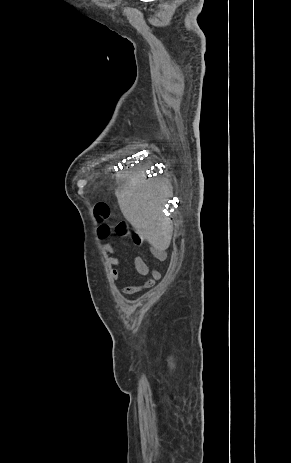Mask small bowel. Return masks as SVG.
I'll list each match as a JSON object with an SVG mask.
<instances>
[{"label":"small bowel","instance_id":"small-bowel-1","mask_svg":"<svg viewBox=\"0 0 291 463\" xmlns=\"http://www.w3.org/2000/svg\"><path fill=\"white\" fill-rule=\"evenodd\" d=\"M142 240L139 237V241L137 244H142ZM104 249L111 253L112 255L108 256L107 263L110 265V275L114 280H119L121 278L120 271L118 269L121 266L120 259L114 255L115 249L111 244H105ZM153 258L157 265L161 263V252L154 250L152 252ZM134 266L137 273L140 276L146 277L149 274L151 275L150 279H148L142 285H127L122 287L121 291L125 295H132L136 294L144 289H149L155 285V283L161 278V273L157 269H153L150 271L148 265L144 261V259L140 256H136L134 259Z\"/></svg>","mask_w":291,"mask_h":463}]
</instances>
